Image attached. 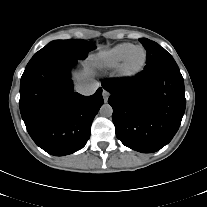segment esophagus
Returning a JSON list of instances; mask_svg holds the SVG:
<instances>
[{"instance_id": "esophagus-1", "label": "esophagus", "mask_w": 207, "mask_h": 207, "mask_svg": "<svg viewBox=\"0 0 207 207\" xmlns=\"http://www.w3.org/2000/svg\"><path fill=\"white\" fill-rule=\"evenodd\" d=\"M102 96H103L104 102H107V101H108V98H109V96H110V94H109L108 91L103 90V92H102Z\"/></svg>"}]
</instances>
